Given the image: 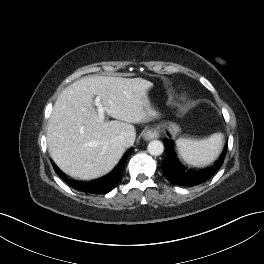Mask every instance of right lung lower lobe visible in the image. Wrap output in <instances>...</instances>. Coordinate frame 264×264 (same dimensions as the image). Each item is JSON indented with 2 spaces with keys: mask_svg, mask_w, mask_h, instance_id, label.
Returning a JSON list of instances; mask_svg holds the SVG:
<instances>
[{
  "mask_svg": "<svg viewBox=\"0 0 264 264\" xmlns=\"http://www.w3.org/2000/svg\"><path fill=\"white\" fill-rule=\"evenodd\" d=\"M129 153H126L117 167L107 176L104 178H100L97 181H93L91 183H80L76 181H72L65 176H63L58 170L56 173L65 180L71 187L76 190L86 192V193H93V194H102L108 193L117 185L120 181L124 169L125 161L128 157Z\"/></svg>",
  "mask_w": 264,
  "mask_h": 264,
  "instance_id": "right-lung-lower-lobe-1",
  "label": "right lung lower lobe"
}]
</instances>
